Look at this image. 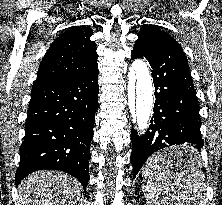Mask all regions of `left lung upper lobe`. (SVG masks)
Here are the masks:
<instances>
[{
  "label": "left lung upper lobe",
  "mask_w": 222,
  "mask_h": 205,
  "mask_svg": "<svg viewBox=\"0 0 222 205\" xmlns=\"http://www.w3.org/2000/svg\"><path fill=\"white\" fill-rule=\"evenodd\" d=\"M138 36L144 37H166L173 39L169 34L162 31L159 26L156 25H144L141 27ZM174 40V39H173Z\"/></svg>",
  "instance_id": "left-lung-upper-lobe-1"
}]
</instances>
